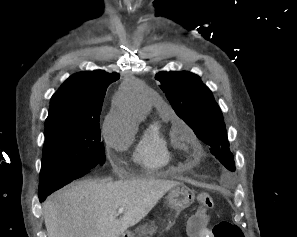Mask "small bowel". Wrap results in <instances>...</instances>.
<instances>
[{"label": "small bowel", "instance_id": "obj_1", "mask_svg": "<svg viewBox=\"0 0 297 237\" xmlns=\"http://www.w3.org/2000/svg\"><path fill=\"white\" fill-rule=\"evenodd\" d=\"M191 237H214L213 234L207 228L202 227L199 232L193 233L191 228Z\"/></svg>", "mask_w": 297, "mask_h": 237}]
</instances>
